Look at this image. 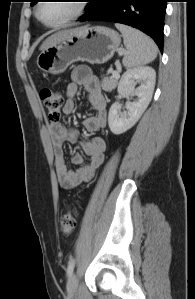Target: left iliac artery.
Returning <instances> with one entry per match:
<instances>
[{"label": "left iliac artery", "mask_w": 195, "mask_h": 299, "mask_svg": "<svg viewBox=\"0 0 195 299\" xmlns=\"http://www.w3.org/2000/svg\"><path fill=\"white\" fill-rule=\"evenodd\" d=\"M75 266V260L71 259V261L69 262L68 268H67V275L70 276L73 272Z\"/></svg>", "instance_id": "1"}]
</instances>
